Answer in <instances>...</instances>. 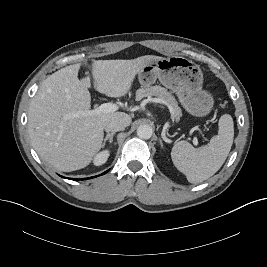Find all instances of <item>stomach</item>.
Returning a JSON list of instances; mask_svg holds the SVG:
<instances>
[{"instance_id": "0dacf381", "label": "stomach", "mask_w": 267, "mask_h": 267, "mask_svg": "<svg viewBox=\"0 0 267 267\" xmlns=\"http://www.w3.org/2000/svg\"><path fill=\"white\" fill-rule=\"evenodd\" d=\"M138 79L143 87L152 85L158 79L177 94L182 106L193 116H206L213 107L212 95L202 90L200 66L185 57H160L151 61L140 70Z\"/></svg>"}]
</instances>
